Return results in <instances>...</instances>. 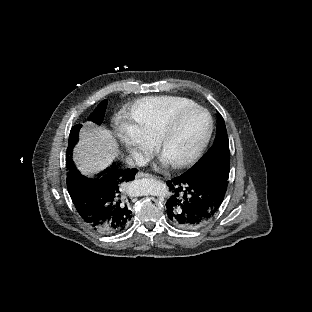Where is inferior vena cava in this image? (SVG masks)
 <instances>
[{
    "instance_id": "1",
    "label": "inferior vena cava",
    "mask_w": 312,
    "mask_h": 312,
    "mask_svg": "<svg viewBox=\"0 0 312 312\" xmlns=\"http://www.w3.org/2000/svg\"><path fill=\"white\" fill-rule=\"evenodd\" d=\"M148 158L141 152L134 150L131 153V157L127 160V163L131 166L144 167L148 163Z\"/></svg>"
}]
</instances>
